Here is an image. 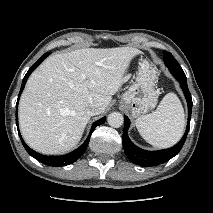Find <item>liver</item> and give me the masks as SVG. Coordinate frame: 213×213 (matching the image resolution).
<instances>
[{
    "label": "liver",
    "instance_id": "liver-1",
    "mask_svg": "<svg viewBox=\"0 0 213 213\" xmlns=\"http://www.w3.org/2000/svg\"><path fill=\"white\" fill-rule=\"evenodd\" d=\"M139 54L131 47L84 48L47 58L31 74L20 98L25 142L47 155L74 149L90 120L87 106L97 104L104 112L131 59Z\"/></svg>",
    "mask_w": 213,
    "mask_h": 213
}]
</instances>
